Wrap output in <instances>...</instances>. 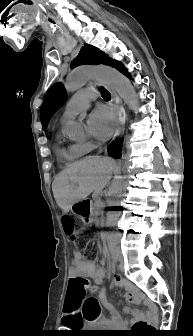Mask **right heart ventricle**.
Segmentation results:
<instances>
[{
  "label": "right heart ventricle",
  "mask_w": 193,
  "mask_h": 336,
  "mask_svg": "<svg viewBox=\"0 0 193 336\" xmlns=\"http://www.w3.org/2000/svg\"><path fill=\"white\" fill-rule=\"evenodd\" d=\"M56 153L62 162L71 163L80 159L86 152L81 143H70L67 145L58 143Z\"/></svg>",
  "instance_id": "obj_1"
}]
</instances>
